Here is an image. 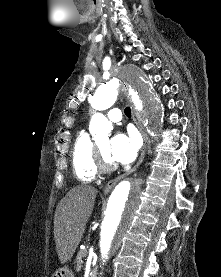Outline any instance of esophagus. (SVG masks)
I'll use <instances>...</instances> for the list:
<instances>
[{
  "instance_id": "1",
  "label": "esophagus",
  "mask_w": 221,
  "mask_h": 277,
  "mask_svg": "<svg viewBox=\"0 0 221 277\" xmlns=\"http://www.w3.org/2000/svg\"><path fill=\"white\" fill-rule=\"evenodd\" d=\"M133 119H134V121H135V123H136V125H137V127H138V129H139V131L141 132L142 137H143V140H144V144H143V148H142L140 157H139V159H138L136 165H135L133 168H131V169H130L129 171H127L126 173H123V174L117 176L116 178L110 180V181L106 184V186H105V188H104V190H103L104 194H108V193L111 191V189H112L120 180H122V179L125 178L126 176L130 175V174L133 173L135 170H137V168L140 166V164H141V163L143 162V160H144L145 153H146V148H147V144H148V138H147V136H146V134H145V132H144V129H143V126H142L140 120L137 118L136 113H135L134 111H133Z\"/></svg>"
}]
</instances>
